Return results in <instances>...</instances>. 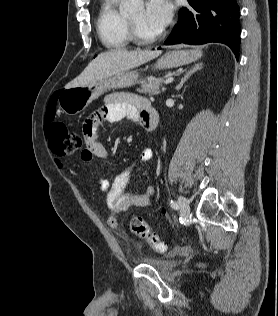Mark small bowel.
Returning a JSON list of instances; mask_svg holds the SVG:
<instances>
[{"label":"small bowel","mask_w":278,"mask_h":316,"mask_svg":"<svg viewBox=\"0 0 278 316\" xmlns=\"http://www.w3.org/2000/svg\"><path fill=\"white\" fill-rule=\"evenodd\" d=\"M150 107L147 99L131 93H113L104 99V105L93 115L85 120L82 126L85 139V148L81 153L82 160L92 162L95 159H106L109 152L105 146L97 140L99 127L104 122H117L124 118L142 121L144 111ZM153 157V151L145 148L139 155V161L146 163ZM130 183V171H122L113 184L109 185L105 179L99 180L101 191L107 194L106 204L111 211L107 224L117 230L119 227L118 215L130 207H144L150 203L154 188L149 185L142 192L128 188ZM166 217V213L163 212Z\"/></svg>","instance_id":"small-bowel-1"}]
</instances>
